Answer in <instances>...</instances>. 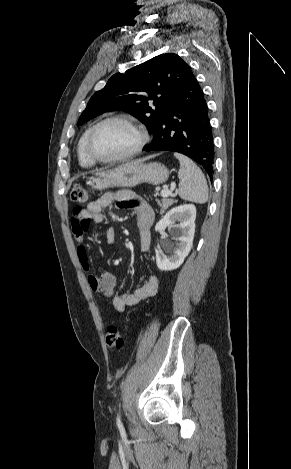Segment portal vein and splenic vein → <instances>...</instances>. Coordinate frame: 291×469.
<instances>
[{"label": "portal vein and splenic vein", "instance_id": "portal-vein-and-splenic-vein-1", "mask_svg": "<svg viewBox=\"0 0 291 469\" xmlns=\"http://www.w3.org/2000/svg\"><path fill=\"white\" fill-rule=\"evenodd\" d=\"M174 189H175V183H173V184L171 185V189H170V190L167 189V188L163 189V190L161 191V196H162V197H168V196L172 195V192H173Z\"/></svg>", "mask_w": 291, "mask_h": 469}]
</instances>
